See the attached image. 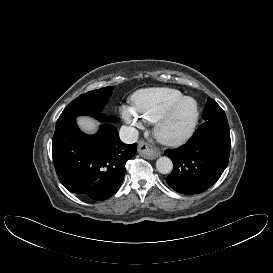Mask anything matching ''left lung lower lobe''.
I'll return each mask as SVG.
<instances>
[{"instance_id":"left-lung-lower-lobe-1","label":"left lung lower lobe","mask_w":273,"mask_h":273,"mask_svg":"<svg viewBox=\"0 0 273 273\" xmlns=\"http://www.w3.org/2000/svg\"><path fill=\"white\" fill-rule=\"evenodd\" d=\"M230 146L227 121L204 122L185 145L165 151L173 162L167 184L182 194L204 192L227 167Z\"/></svg>"}]
</instances>
